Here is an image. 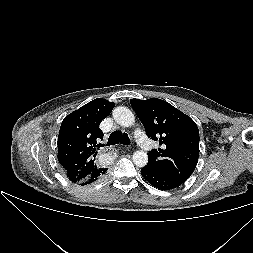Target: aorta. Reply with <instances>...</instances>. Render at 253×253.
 <instances>
[{"mask_svg": "<svg viewBox=\"0 0 253 253\" xmlns=\"http://www.w3.org/2000/svg\"><path fill=\"white\" fill-rule=\"evenodd\" d=\"M112 115L115 122L120 126L131 127L135 123V116L127 107H116ZM132 159L136 166L144 167L148 162V155L146 152L139 150L134 152Z\"/></svg>", "mask_w": 253, "mask_h": 253, "instance_id": "1", "label": "aorta"}]
</instances>
